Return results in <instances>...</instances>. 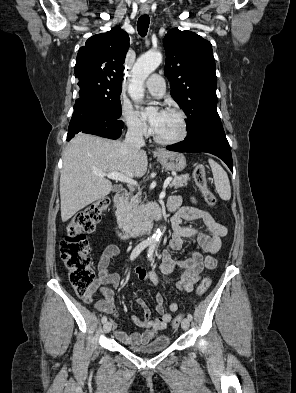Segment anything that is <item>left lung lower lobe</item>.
I'll return each mask as SVG.
<instances>
[{
	"instance_id": "0a47b994",
	"label": "left lung lower lobe",
	"mask_w": 296,
	"mask_h": 393,
	"mask_svg": "<svg viewBox=\"0 0 296 393\" xmlns=\"http://www.w3.org/2000/svg\"><path fill=\"white\" fill-rule=\"evenodd\" d=\"M176 152H207L222 159L233 172L230 145L221 121L209 122L187 135L184 141L167 146Z\"/></svg>"
}]
</instances>
